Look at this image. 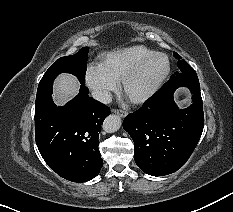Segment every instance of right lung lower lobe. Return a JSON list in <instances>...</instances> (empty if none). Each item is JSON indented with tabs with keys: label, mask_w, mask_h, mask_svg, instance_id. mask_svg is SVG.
Instances as JSON below:
<instances>
[{
	"label": "right lung lower lobe",
	"mask_w": 233,
	"mask_h": 212,
	"mask_svg": "<svg viewBox=\"0 0 233 212\" xmlns=\"http://www.w3.org/2000/svg\"><path fill=\"white\" fill-rule=\"evenodd\" d=\"M79 94L65 106H55L51 95L35 105V139L47 165L73 181L93 179L103 166L98 144L102 121L110 108L88 95Z\"/></svg>",
	"instance_id": "98d812e1"
}]
</instances>
